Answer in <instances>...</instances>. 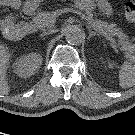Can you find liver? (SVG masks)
I'll return each instance as SVG.
<instances>
[{"mask_svg": "<svg viewBox=\"0 0 135 135\" xmlns=\"http://www.w3.org/2000/svg\"><path fill=\"white\" fill-rule=\"evenodd\" d=\"M11 54L8 48L0 43V94L7 95L10 91L6 71L10 62Z\"/></svg>", "mask_w": 135, "mask_h": 135, "instance_id": "liver-1", "label": "liver"}]
</instances>
